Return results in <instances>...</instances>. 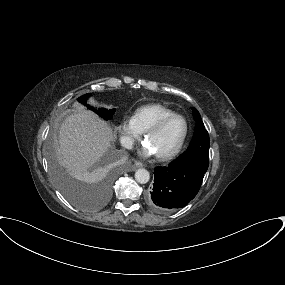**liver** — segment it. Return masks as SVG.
Returning a JSON list of instances; mask_svg holds the SVG:
<instances>
[{"mask_svg":"<svg viewBox=\"0 0 285 285\" xmlns=\"http://www.w3.org/2000/svg\"><path fill=\"white\" fill-rule=\"evenodd\" d=\"M111 129L95 113L78 107L59 130L58 159L74 177L81 179L108 150L114 139Z\"/></svg>","mask_w":285,"mask_h":285,"instance_id":"6515ba94","label":"liver"}]
</instances>
